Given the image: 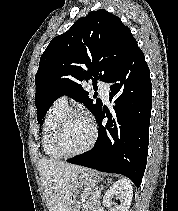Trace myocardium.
<instances>
[{"label": "myocardium", "mask_w": 178, "mask_h": 211, "mask_svg": "<svg viewBox=\"0 0 178 211\" xmlns=\"http://www.w3.org/2000/svg\"><path fill=\"white\" fill-rule=\"evenodd\" d=\"M73 117H81L89 123L90 129H91V138H90V141L88 142V144L81 150L73 152V153H68V152L63 151L61 148V137H62V133H63L64 129L66 128L68 122ZM96 139H97V125H96L95 121L89 115H87L86 113H84L82 111L69 110L68 112H66V114L64 115V117L62 118V120L60 122V125L57 128L56 135H55V147H56L57 152L62 157L70 158V157H75V156L84 154L87 151H89L94 146Z\"/></svg>", "instance_id": "1"}]
</instances>
